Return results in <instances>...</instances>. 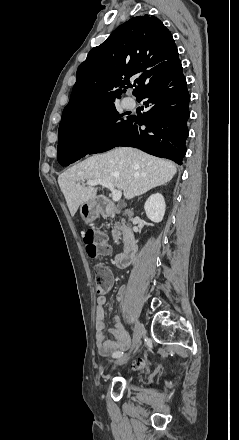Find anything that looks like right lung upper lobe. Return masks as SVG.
Returning <instances> with one entry per match:
<instances>
[{"label":"right lung upper lobe","mask_w":239,"mask_h":440,"mask_svg":"<svg viewBox=\"0 0 239 440\" xmlns=\"http://www.w3.org/2000/svg\"><path fill=\"white\" fill-rule=\"evenodd\" d=\"M170 31L150 15L131 18L101 45L88 53L76 74L69 103L61 122L101 109L120 97L134 81L138 97L152 82L169 73L179 62Z\"/></svg>","instance_id":"obj_1"}]
</instances>
